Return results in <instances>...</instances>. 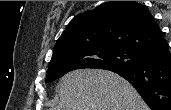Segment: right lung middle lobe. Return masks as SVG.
<instances>
[{
	"label": "right lung middle lobe",
	"mask_w": 171,
	"mask_h": 110,
	"mask_svg": "<svg viewBox=\"0 0 171 110\" xmlns=\"http://www.w3.org/2000/svg\"><path fill=\"white\" fill-rule=\"evenodd\" d=\"M140 58L139 52L121 47L92 48L56 56L50 61L45 82H52L67 72L80 68L110 70L134 66Z\"/></svg>",
	"instance_id": "obj_1"
}]
</instances>
